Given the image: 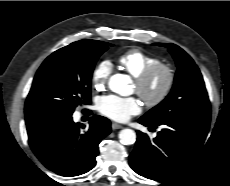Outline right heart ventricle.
I'll list each match as a JSON object with an SVG mask.
<instances>
[{"instance_id":"1","label":"right heart ventricle","mask_w":230,"mask_h":186,"mask_svg":"<svg viewBox=\"0 0 230 186\" xmlns=\"http://www.w3.org/2000/svg\"><path fill=\"white\" fill-rule=\"evenodd\" d=\"M159 61L158 57L138 48L129 49L117 58L118 64L134 77Z\"/></svg>"}]
</instances>
